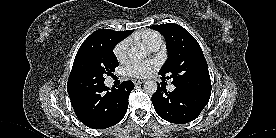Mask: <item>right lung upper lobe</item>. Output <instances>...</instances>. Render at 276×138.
I'll return each instance as SVG.
<instances>
[{"mask_svg": "<svg viewBox=\"0 0 276 138\" xmlns=\"http://www.w3.org/2000/svg\"><path fill=\"white\" fill-rule=\"evenodd\" d=\"M132 31L133 30L113 31V30H109V29H99V30L95 31L94 33H92L88 38H92L94 36L101 35V34H110L118 42H120L121 40H123L124 38H126L129 34H131Z\"/></svg>", "mask_w": 276, "mask_h": 138, "instance_id": "right-lung-upper-lobe-1", "label": "right lung upper lobe"}]
</instances>
